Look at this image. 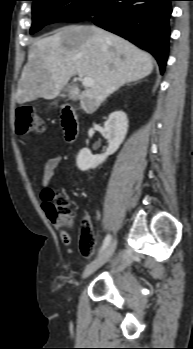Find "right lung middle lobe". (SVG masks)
I'll list each match as a JSON object with an SVG mask.
<instances>
[{"label": "right lung middle lobe", "instance_id": "1", "mask_svg": "<svg viewBox=\"0 0 193 349\" xmlns=\"http://www.w3.org/2000/svg\"><path fill=\"white\" fill-rule=\"evenodd\" d=\"M33 34L54 22H76L87 18L101 0H32Z\"/></svg>", "mask_w": 193, "mask_h": 349}]
</instances>
